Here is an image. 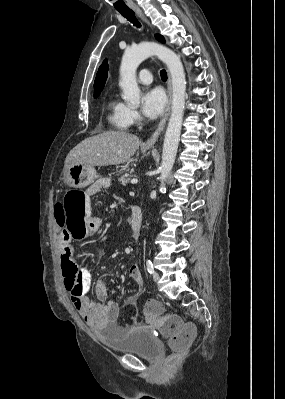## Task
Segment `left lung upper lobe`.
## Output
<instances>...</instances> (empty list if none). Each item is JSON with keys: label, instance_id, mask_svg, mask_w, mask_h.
<instances>
[{"label": "left lung upper lobe", "instance_id": "1", "mask_svg": "<svg viewBox=\"0 0 285 399\" xmlns=\"http://www.w3.org/2000/svg\"><path fill=\"white\" fill-rule=\"evenodd\" d=\"M156 39L157 40H159V41H161V42H164L165 40H164V38H163V36H161V35H156Z\"/></svg>", "mask_w": 285, "mask_h": 399}]
</instances>
